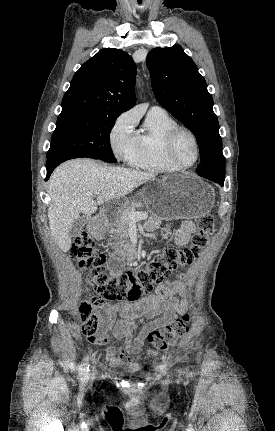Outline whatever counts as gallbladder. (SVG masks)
Wrapping results in <instances>:
<instances>
[{"instance_id":"1","label":"gallbladder","mask_w":275,"mask_h":431,"mask_svg":"<svg viewBox=\"0 0 275 431\" xmlns=\"http://www.w3.org/2000/svg\"><path fill=\"white\" fill-rule=\"evenodd\" d=\"M88 221H89L88 216H80L78 219H76L69 230V236L71 237L78 236L82 228L88 223Z\"/></svg>"}]
</instances>
